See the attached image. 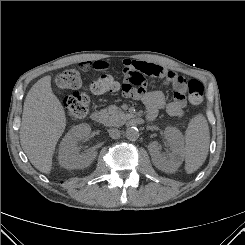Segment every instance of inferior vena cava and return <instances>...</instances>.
<instances>
[{"label": "inferior vena cava", "mask_w": 245, "mask_h": 245, "mask_svg": "<svg viewBox=\"0 0 245 245\" xmlns=\"http://www.w3.org/2000/svg\"><path fill=\"white\" fill-rule=\"evenodd\" d=\"M109 136L113 139H118L120 137V130L116 128H111L108 130Z\"/></svg>", "instance_id": "inferior-vena-cava-1"}]
</instances>
